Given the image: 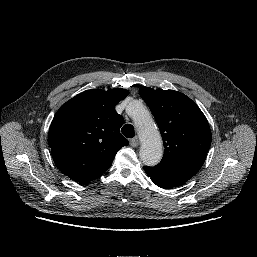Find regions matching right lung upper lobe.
Listing matches in <instances>:
<instances>
[{
    "mask_svg": "<svg viewBox=\"0 0 257 257\" xmlns=\"http://www.w3.org/2000/svg\"><path fill=\"white\" fill-rule=\"evenodd\" d=\"M129 92L122 88L87 90L56 112L48 135L58 169L79 183L100 177L128 140L120 134L124 119L115 105Z\"/></svg>",
    "mask_w": 257,
    "mask_h": 257,
    "instance_id": "cb5924a9",
    "label": "right lung upper lobe"
}]
</instances>
